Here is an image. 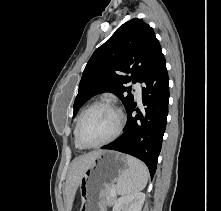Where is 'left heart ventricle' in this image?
Segmentation results:
<instances>
[{
    "label": "left heart ventricle",
    "instance_id": "b2bd125f",
    "mask_svg": "<svg viewBox=\"0 0 221 211\" xmlns=\"http://www.w3.org/2000/svg\"><path fill=\"white\" fill-rule=\"evenodd\" d=\"M117 115L108 107L92 109L85 117L81 138L86 144H95L110 137L117 126Z\"/></svg>",
    "mask_w": 221,
    "mask_h": 211
}]
</instances>
